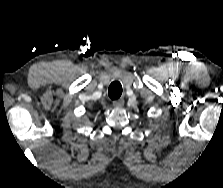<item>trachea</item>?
Wrapping results in <instances>:
<instances>
[{"instance_id":"3493384b","label":"trachea","mask_w":223,"mask_h":188,"mask_svg":"<svg viewBox=\"0 0 223 188\" xmlns=\"http://www.w3.org/2000/svg\"><path fill=\"white\" fill-rule=\"evenodd\" d=\"M108 95L112 100L120 98V96L122 95L121 83L118 81L112 82L108 89Z\"/></svg>"}]
</instances>
